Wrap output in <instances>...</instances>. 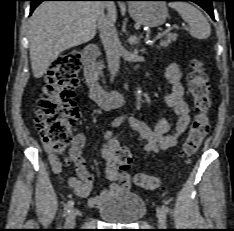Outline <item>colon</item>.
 <instances>
[{
	"instance_id": "colon-1",
	"label": "colon",
	"mask_w": 234,
	"mask_h": 231,
	"mask_svg": "<svg viewBox=\"0 0 234 231\" xmlns=\"http://www.w3.org/2000/svg\"><path fill=\"white\" fill-rule=\"evenodd\" d=\"M82 64V54L77 48L59 55L49 67L45 76V86L35 110V124L43 139L55 153H62L72 141L71 128L77 123L80 111L74 102L75 90L79 85L78 72ZM188 87L193 98L195 116L188 136L182 147V155L188 159L200 147L210 129L209 113L212 107L210 85L199 61L191 63ZM118 164L127 171L132 163V153L122 147L117 152ZM133 182L146 189L160 185L157 176L137 173Z\"/></svg>"
}]
</instances>
